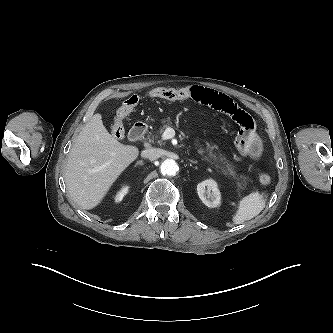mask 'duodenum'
<instances>
[{
  "label": "duodenum",
  "mask_w": 333,
  "mask_h": 333,
  "mask_svg": "<svg viewBox=\"0 0 333 333\" xmlns=\"http://www.w3.org/2000/svg\"><path fill=\"white\" fill-rule=\"evenodd\" d=\"M146 131H147V125L146 124L137 123L129 131L128 137L131 141H138L142 137H144Z\"/></svg>",
  "instance_id": "obj_1"
}]
</instances>
